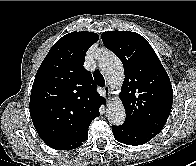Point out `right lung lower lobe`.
<instances>
[{
  "label": "right lung lower lobe",
  "instance_id": "obj_1",
  "mask_svg": "<svg viewBox=\"0 0 196 166\" xmlns=\"http://www.w3.org/2000/svg\"><path fill=\"white\" fill-rule=\"evenodd\" d=\"M88 138V137H87ZM82 141H68V140H56L45 142L48 146L57 150H71L82 145V143L87 139Z\"/></svg>",
  "mask_w": 196,
  "mask_h": 166
}]
</instances>
